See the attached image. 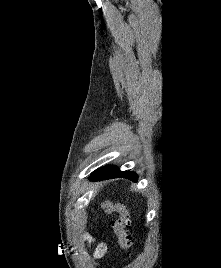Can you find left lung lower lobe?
<instances>
[{
	"label": "left lung lower lobe",
	"instance_id": "left-lung-lower-lobe-1",
	"mask_svg": "<svg viewBox=\"0 0 221 268\" xmlns=\"http://www.w3.org/2000/svg\"><path fill=\"white\" fill-rule=\"evenodd\" d=\"M116 177L127 178L135 182L137 181L136 173L127 172V171L120 172L114 166H106V167L96 170L95 173L91 176V180L97 181V180L116 178Z\"/></svg>",
	"mask_w": 221,
	"mask_h": 268
}]
</instances>
